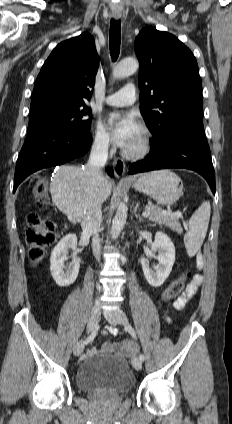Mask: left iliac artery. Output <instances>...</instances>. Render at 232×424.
I'll list each match as a JSON object with an SVG mask.
<instances>
[{
	"mask_svg": "<svg viewBox=\"0 0 232 424\" xmlns=\"http://www.w3.org/2000/svg\"><path fill=\"white\" fill-rule=\"evenodd\" d=\"M125 329L131 334V336L133 337V338H136V332H135V330H134V328L131 326V325H129V324H127L126 326H125ZM139 359L141 360V361H144V359H145V357H144V355L143 354H140L139 355Z\"/></svg>",
	"mask_w": 232,
	"mask_h": 424,
	"instance_id": "44dca946",
	"label": "left iliac artery"
}]
</instances>
